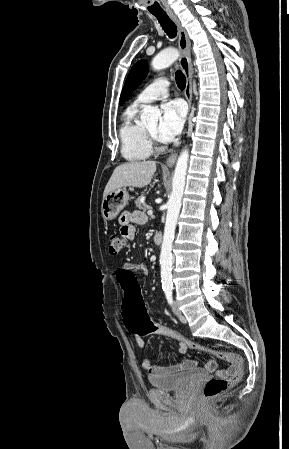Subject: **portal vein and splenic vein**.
<instances>
[{
	"label": "portal vein and splenic vein",
	"mask_w": 289,
	"mask_h": 449,
	"mask_svg": "<svg viewBox=\"0 0 289 449\" xmlns=\"http://www.w3.org/2000/svg\"><path fill=\"white\" fill-rule=\"evenodd\" d=\"M147 214L151 216V215L153 214L152 209H149V210L147 211Z\"/></svg>",
	"instance_id": "18ae733b"
}]
</instances>
